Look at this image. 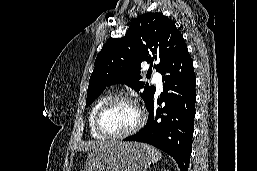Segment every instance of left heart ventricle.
<instances>
[{"label": "left heart ventricle", "instance_id": "b2bd125f", "mask_svg": "<svg viewBox=\"0 0 257 171\" xmlns=\"http://www.w3.org/2000/svg\"><path fill=\"white\" fill-rule=\"evenodd\" d=\"M139 120L137 109L122 102L110 107L101 119L102 127L109 133L120 134L132 129Z\"/></svg>", "mask_w": 257, "mask_h": 171}]
</instances>
